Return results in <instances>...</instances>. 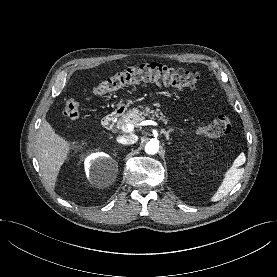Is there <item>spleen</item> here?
<instances>
[{
	"label": "spleen",
	"instance_id": "3e777b00",
	"mask_svg": "<svg viewBox=\"0 0 277 277\" xmlns=\"http://www.w3.org/2000/svg\"><path fill=\"white\" fill-rule=\"evenodd\" d=\"M244 172L243 168H237V166L233 165L224 175V179L219 186L216 193L211 198V201L216 202L224 198L233 187L239 182L241 176Z\"/></svg>",
	"mask_w": 277,
	"mask_h": 277
}]
</instances>
